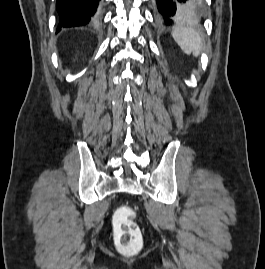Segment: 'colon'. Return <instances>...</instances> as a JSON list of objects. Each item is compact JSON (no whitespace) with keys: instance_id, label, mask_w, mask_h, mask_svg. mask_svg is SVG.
Instances as JSON below:
<instances>
[{"instance_id":"colon-1","label":"colon","mask_w":265,"mask_h":269,"mask_svg":"<svg viewBox=\"0 0 265 269\" xmlns=\"http://www.w3.org/2000/svg\"><path fill=\"white\" fill-rule=\"evenodd\" d=\"M134 211L130 208H119L115 213V237L121 248H130L137 244L140 230L133 220Z\"/></svg>"}]
</instances>
